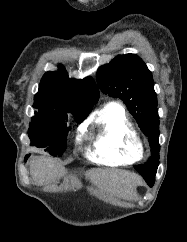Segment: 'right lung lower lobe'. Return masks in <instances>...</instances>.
I'll use <instances>...</instances> for the list:
<instances>
[{
	"instance_id": "right-lung-lower-lobe-1",
	"label": "right lung lower lobe",
	"mask_w": 187,
	"mask_h": 242,
	"mask_svg": "<svg viewBox=\"0 0 187 242\" xmlns=\"http://www.w3.org/2000/svg\"><path fill=\"white\" fill-rule=\"evenodd\" d=\"M28 157H29V155H26V156H25V161L27 160Z\"/></svg>"
}]
</instances>
